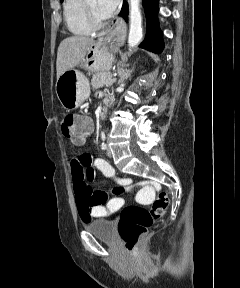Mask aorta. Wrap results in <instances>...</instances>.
Returning <instances> with one entry per match:
<instances>
[{
	"mask_svg": "<svg viewBox=\"0 0 240 288\" xmlns=\"http://www.w3.org/2000/svg\"><path fill=\"white\" fill-rule=\"evenodd\" d=\"M130 5V29L128 35L129 48L136 47L142 40V16L140 11V0H128Z\"/></svg>",
	"mask_w": 240,
	"mask_h": 288,
	"instance_id": "1",
	"label": "aorta"
}]
</instances>
